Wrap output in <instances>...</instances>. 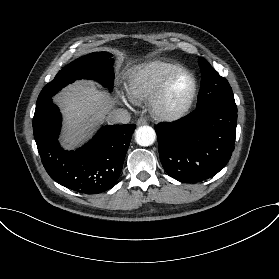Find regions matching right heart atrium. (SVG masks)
<instances>
[{
    "mask_svg": "<svg viewBox=\"0 0 279 279\" xmlns=\"http://www.w3.org/2000/svg\"><path fill=\"white\" fill-rule=\"evenodd\" d=\"M116 97L117 99L124 105L128 106V107H137L140 105L141 100L130 94L127 90H125L124 88L120 87L118 89H116Z\"/></svg>",
    "mask_w": 279,
    "mask_h": 279,
    "instance_id": "right-heart-atrium-1",
    "label": "right heart atrium"
}]
</instances>
